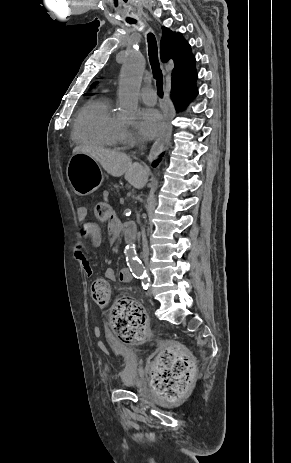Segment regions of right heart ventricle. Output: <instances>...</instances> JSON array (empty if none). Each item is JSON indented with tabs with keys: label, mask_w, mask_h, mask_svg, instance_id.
Here are the masks:
<instances>
[{
	"label": "right heart ventricle",
	"mask_w": 291,
	"mask_h": 463,
	"mask_svg": "<svg viewBox=\"0 0 291 463\" xmlns=\"http://www.w3.org/2000/svg\"><path fill=\"white\" fill-rule=\"evenodd\" d=\"M110 101H90L77 114L73 138L78 144L111 148L122 141V125L111 113Z\"/></svg>",
	"instance_id": "obj_1"
}]
</instances>
